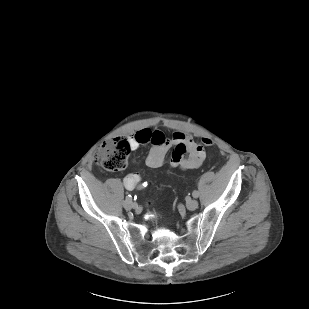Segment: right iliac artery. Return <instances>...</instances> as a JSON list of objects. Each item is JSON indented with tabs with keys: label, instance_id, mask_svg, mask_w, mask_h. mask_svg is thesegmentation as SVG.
I'll return each mask as SVG.
<instances>
[{
	"label": "right iliac artery",
	"instance_id": "82829eb1",
	"mask_svg": "<svg viewBox=\"0 0 309 309\" xmlns=\"http://www.w3.org/2000/svg\"><path fill=\"white\" fill-rule=\"evenodd\" d=\"M126 199H127V200H130V199H131V196H130V195H127V196H126Z\"/></svg>",
	"mask_w": 309,
	"mask_h": 309
}]
</instances>
